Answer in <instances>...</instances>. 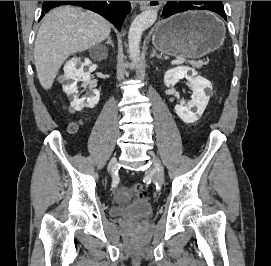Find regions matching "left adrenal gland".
Segmentation results:
<instances>
[{
	"label": "left adrenal gland",
	"instance_id": "1",
	"mask_svg": "<svg viewBox=\"0 0 271 266\" xmlns=\"http://www.w3.org/2000/svg\"><path fill=\"white\" fill-rule=\"evenodd\" d=\"M153 57H156L158 59H162V57L156 53L155 49L152 50L151 58H153Z\"/></svg>",
	"mask_w": 271,
	"mask_h": 266
}]
</instances>
